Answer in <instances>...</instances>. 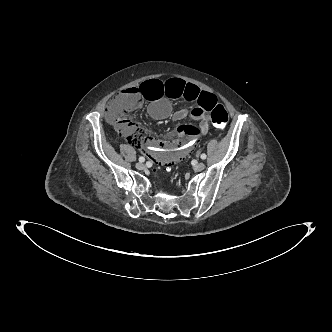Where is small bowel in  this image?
<instances>
[{
  "label": "small bowel",
  "mask_w": 332,
  "mask_h": 332,
  "mask_svg": "<svg viewBox=\"0 0 332 332\" xmlns=\"http://www.w3.org/2000/svg\"><path fill=\"white\" fill-rule=\"evenodd\" d=\"M141 97L150 102L148 113L155 119L172 116L175 120L190 117L198 122V128L182 125L177 132L167 135L165 141L146 135L135 126L125 134L136 143L149 158L163 168L172 166L177 161L187 158L197 134L206 135L209 131L207 113L217 101L215 95L199 89L196 85L179 78L155 76L147 78L140 86ZM168 95V96H167ZM169 99H179L192 103L190 108H182L172 113Z\"/></svg>",
  "instance_id": "1"
}]
</instances>
